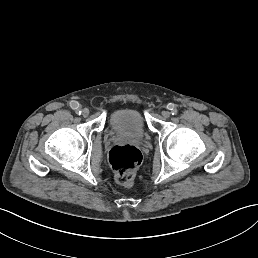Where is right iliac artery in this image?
<instances>
[{"label": "right iliac artery", "instance_id": "obj_1", "mask_svg": "<svg viewBox=\"0 0 258 258\" xmlns=\"http://www.w3.org/2000/svg\"><path fill=\"white\" fill-rule=\"evenodd\" d=\"M76 114H77V115H81V114H82V111H81V110H77V111H76Z\"/></svg>", "mask_w": 258, "mask_h": 258}]
</instances>
